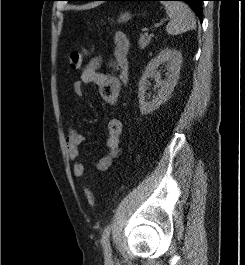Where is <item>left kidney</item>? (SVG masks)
Masks as SVG:
<instances>
[{
	"mask_svg": "<svg viewBox=\"0 0 245 265\" xmlns=\"http://www.w3.org/2000/svg\"><path fill=\"white\" fill-rule=\"evenodd\" d=\"M181 63V52L168 48L161 50V52L148 63L138 83L139 108L142 115L152 113L169 98L179 79ZM161 64H166L167 78L165 80H161V75L157 72V68ZM150 77L155 79L156 86L160 89H158L156 97H153L151 101H147L145 99V94L147 82Z\"/></svg>",
	"mask_w": 245,
	"mask_h": 265,
	"instance_id": "1",
	"label": "left kidney"
}]
</instances>
